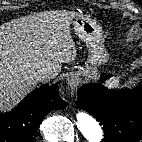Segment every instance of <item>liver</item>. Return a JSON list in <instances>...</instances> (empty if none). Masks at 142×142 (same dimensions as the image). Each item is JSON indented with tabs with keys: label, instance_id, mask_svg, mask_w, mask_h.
<instances>
[{
	"label": "liver",
	"instance_id": "6515ba94",
	"mask_svg": "<svg viewBox=\"0 0 142 142\" xmlns=\"http://www.w3.org/2000/svg\"><path fill=\"white\" fill-rule=\"evenodd\" d=\"M77 16L73 11L45 12L0 26V105L36 87L38 69L50 67L57 75L60 64H75L70 25Z\"/></svg>",
	"mask_w": 142,
	"mask_h": 142
}]
</instances>
